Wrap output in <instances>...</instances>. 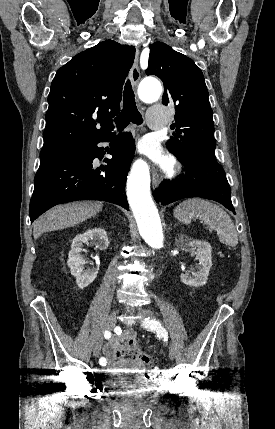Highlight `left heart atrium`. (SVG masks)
Returning <instances> with one entry per match:
<instances>
[{
	"label": "left heart atrium",
	"mask_w": 275,
	"mask_h": 429,
	"mask_svg": "<svg viewBox=\"0 0 275 429\" xmlns=\"http://www.w3.org/2000/svg\"><path fill=\"white\" fill-rule=\"evenodd\" d=\"M141 150H142V152H144L145 154H148L149 156L155 158L156 160H160V161L165 162L156 145H154V144H143L141 146Z\"/></svg>",
	"instance_id": "obj_1"
}]
</instances>
